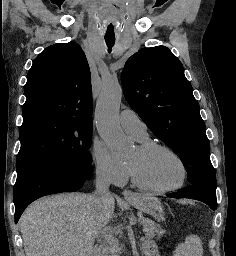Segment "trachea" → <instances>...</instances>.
<instances>
[{
  "label": "trachea",
  "instance_id": "3493384b",
  "mask_svg": "<svg viewBox=\"0 0 236 256\" xmlns=\"http://www.w3.org/2000/svg\"><path fill=\"white\" fill-rule=\"evenodd\" d=\"M105 41L108 47V51L110 52L115 43V39H105Z\"/></svg>",
  "mask_w": 236,
  "mask_h": 256
}]
</instances>
